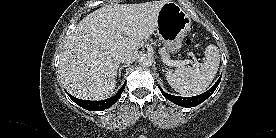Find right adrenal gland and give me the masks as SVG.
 I'll use <instances>...</instances> for the list:
<instances>
[{
    "label": "right adrenal gland",
    "instance_id": "obj_1",
    "mask_svg": "<svg viewBox=\"0 0 276 138\" xmlns=\"http://www.w3.org/2000/svg\"><path fill=\"white\" fill-rule=\"evenodd\" d=\"M128 65H122L120 68H119V71H118V77L120 78L121 77V72H122V69L127 67Z\"/></svg>",
    "mask_w": 276,
    "mask_h": 138
}]
</instances>
